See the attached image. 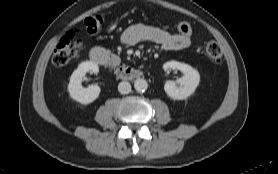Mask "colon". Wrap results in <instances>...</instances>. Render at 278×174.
I'll list each match as a JSON object with an SVG mask.
<instances>
[{"instance_id":"obj_1","label":"colon","mask_w":278,"mask_h":174,"mask_svg":"<svg viewBox=\"0 0 278 174\" xmlns=\"http://www.w3.org/2000/svg\"><path fill=\"white\" fill-rule=\"evenodd\" d=\"M85 27L91 33L97 32L104 24V17L95 15L87 17L84 20ZM178 30L181 34L190 36L192 34V27L188 22H181L178 25ZM81 41L76 37L74 32L67 33L56 46L52 61L55 66L61 67L68 64L77 57L81 48ZM206 55L214 63H220L222 59V50L220 46L210 41L205 47Z\"/></svg>"}]
</instances>
